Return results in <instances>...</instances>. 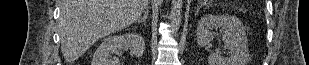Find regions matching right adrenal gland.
<instances>
[{"label": "right adrenal gland", "mask_w": 309, "mask_h": 65, "mask_svg": "<svg viewBox=\"0 0 309 65\" xmlns=\"http://www.w3.org/2000/svg\"><path fill=\"white\" fill-rule=\"evenodd\" d=\"M148 16H149V9L146 8V11H145L143 17H141V18L137 21V23H146V21H147V19H148Z\"/></svg>", "instance_id": "right-adrenal-gland-1"}]
</instances>
